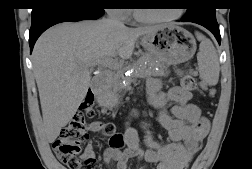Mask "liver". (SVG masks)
Listing matches in <instances>:
<instances>
[{"instance_id": "liver-1", "label": "liver", "mask_w": 252, "mask_h": 169, "mask_svg": "<svg viewBox=\"0 0 252 169\" xmlns=\"http://www.w3.org/2000/svg\"><path fill=\"white\" fill-rule=\"evenodd\" d=\"M161 26L118 27L107 19L65 22L37 40L32 63L48 142H54L73 118L91 83L90 68L99 60L131 58L140 36Z\"/></svg>"}]
</instances>
